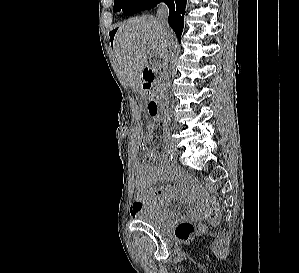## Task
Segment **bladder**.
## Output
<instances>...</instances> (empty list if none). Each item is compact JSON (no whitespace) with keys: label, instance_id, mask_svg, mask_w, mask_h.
<instances>
[{"label":"bladder","instance_id":"bladder-1","mask_svg":"<svg viewBox=\"0 0 299 273\" xmlns=\"http://www.w3.org/2000/svg\"><path fill=\"white\" fill-rule=\"evenodd\" d=\"M177 217L175 215L162 216L154 214L148 210H142L137 214V220L152 227L157 231L168 228Z\"/></svg>","mask_w":299,"mask_h":273}]
</instances>
